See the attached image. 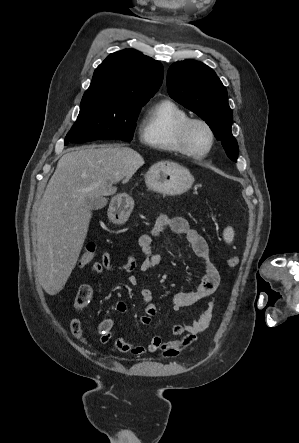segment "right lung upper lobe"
Wrapping results in <instances>:
<instances>
[{
  "label": "right lung upper lobe",
  "instance_id": "1",
  "mask_svg": "<svg viewBox=\"0 0 299 443\" xmlns=\"http://www.w3.org/2000/svg\"><path fill=\"white\" fill-rule=\"evenodd\" d=\"M163 80L159 61L142 53L125 49L110 54L100 64L84 96L117 98L126 101H148Z\"/></svg>",
  "mask_w": 299,
  "mask_h": 443
}]
</instances>
